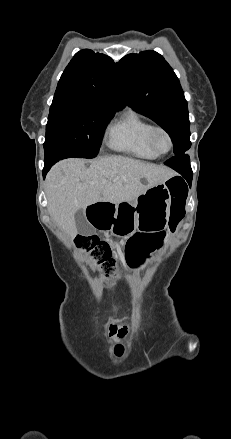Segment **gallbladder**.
I'll list each match as a JSON object with an SVG mask.
<instances>
[{
    "label": "gallbladder",
    "instance_id": "obj_1",
    "mask_svg": "<svg viewBox=\"0 0 231 439\" xmlns=\"http://www.w3.org/2000/svg\"><path fill=\"white\" fill-rule=\"evenodd\" d=\"M75 222L78 233L84 235H91L94 233L93 227L87 223L82 211H78L75 214Z\"/></svg>",
    "mask_w": 231,
    "mask_h": 439
}]
</instances>
